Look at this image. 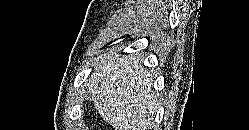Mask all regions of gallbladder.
<instances>
[{"label":"gallbladder","instance_id":"1","mask_svg":"<svg viewBox=\"0 0 249 130\" xmlns=\"http://www.w3.org/2000/svg\"><path fill=\"white\" fill-rule=\"evenodd\" d=\"M85 98L88 100V101H92V93L89 89L86 90L85 92Z\"/></svg>","mask_w":249,"mask_h":130}]
</instances>
